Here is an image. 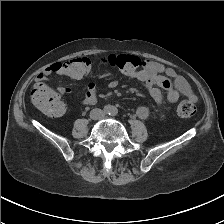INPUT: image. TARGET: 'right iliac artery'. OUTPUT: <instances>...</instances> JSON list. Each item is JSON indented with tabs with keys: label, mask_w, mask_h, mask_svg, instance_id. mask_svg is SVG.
<instances>
[{
	"label": "right iliac artery",
	"mask_w": 224,
	"mask_h": 224,
	"mask_svg": "<svg viewBox=\"0 0 224 224\" xmlns=\"http://www.w3.org/2000/svg\"><path fill=\"white\" fill-rule=\"evenodd\" d=\"M103 110L106 114H110L112 111V107L110 105H106Z\"/></svg>",
	"instance_id": "obj_1"
}]
</instances>
